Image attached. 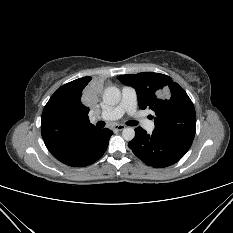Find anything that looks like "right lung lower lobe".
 I'll use <instances>...</instances> for the list:
<instances>
[{
	"instance_id": "obj_1",
	"label": "right lung lower lobe",
	"mask_w": 233,
	"mask_h": 233,
	"mask_svg": "<svg viewBox=\"0 0 233 233\" xmlns=\"http://www.w3.org/2000/svg\"><path fill=\"white\" fill-rule=\"evenodd\" d=\"M112 134L111 130L104 128L86 133L68 146H62L52 138L44 139V142L50 153L60 162L81 167L94 163L104 154Z\"/></svg>"
}]
</instances>
